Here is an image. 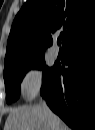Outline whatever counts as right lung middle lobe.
I'll return each instance as SVG.
<instances>
[{"mask_svg": "<svg viewBox=\"0 0 95 130\" xmlns=\"http://www.w3.org/2000/svg\"><path fill=\"white\" fill-rule=\"evenodd\" d=\"M30 69H43V87L53 73L54 66L51 68L45 66V61L43 57L29 64L5 70L3 76L5 82L7 103H11L18 99L20 95V82L22 81L26 72H28Z\"/></svg>", "mask_w": 95, "mask_h": 130, "instance_id": "right-lung-middle-lobe-1", "label": "right lung middle lobe"}]
</instances>
